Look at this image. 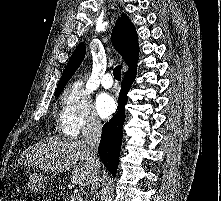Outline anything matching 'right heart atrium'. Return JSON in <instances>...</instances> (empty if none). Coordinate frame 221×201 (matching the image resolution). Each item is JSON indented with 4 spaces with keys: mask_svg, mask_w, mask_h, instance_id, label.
<instances>
[{
    "mask_svg": "<svg viewBox=\"0 0 221 201\" xmlns=\"http://www.w3.org/2000/svg\"><path fill=\"white\" fill-rule=\"evenodd\" d=\"M100 120L94 110L91 97L81 82L70 84L64 94L60 113V127L64 133L77 136L82 132L95 130Z\"/></svg>",
    "mask_w": 221,
    "mask_h": 201,
    "instance_id": "d8ad5b80",
    "label": "right heart atrium"
}]
</instances>
